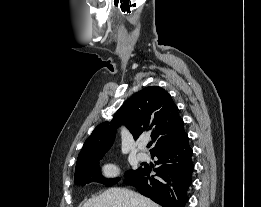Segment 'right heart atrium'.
<instances>
[{
  "instance_id": "right-heart-atrium-1",
  "label": "right heart atrium",
  "mask_w": 261,
  "mask_h": 207,
  "mask_svg": "<svg viewBox=\"0 0 261 207\" xmlns=\"http://www.w3.org/2000/svg\"><path fill=\"white\" fill-rule=\"evenodd\" d=\"M102 171L105 177L112 178L116 177L119 174L120 169L116 164L108 163L103 166Z\"/></svg>"
}]
</instances>
